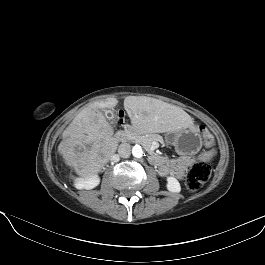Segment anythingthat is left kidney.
Returning <instances> with one entry per match:
<instances>
[{
	"instance_id": "5707ae66",
	"label": "left kidney",
	"mask_w": 265,
	"mask_h": 265,
	"mask_svg": "<svg viewBox=\"0 0 265 265\" xmlns=\"http://www.w3.org/2000/svg\"><path fill=\"white\" fill-rule=\"evenodd\" d=\"M167 189L172 193H179L181 191V186L176 178L167 177Z\"/></svg>"
}]
</instances>
